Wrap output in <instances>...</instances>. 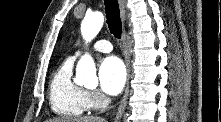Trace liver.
Instances as JSON below:
<instances>
[{
  "instance_id": "6515ba94",
  "label": "liver",
  "mask_w": 221,
  "mask_h": 122,
  "mask_svg": "<svg viewBox=\"0 0 221 122\" xmlns=\"http://www.w3.org/2000/svg\"><path fill=\"white\" fill-rule=\"evenodd\" d=\"M47 122H105L103 118L96 116H86V117H62L49 119Z\"/></svg>"
}]
</instances>
